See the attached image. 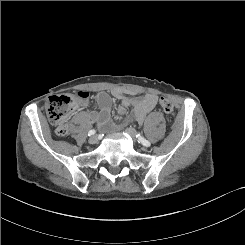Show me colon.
I'll use <instances>...</instances> for the list:
<instances>
[{
  "label": "colon",
  "mask_w": 245,
  "mask_h": 245,
  "mask_svg": "<svg viewBox=\"0 0 245 245\" xmlns=\"http://www.w3.org/2000/svg\"><path fill=\"white\" fill-rule=\"evenodd\" d=\"M88 97L87 92H78L76 94H61L49 98L46 114L49 121L55 125V132L58 136H65L67 133V120L73 110L80 102ZM160 105L163 111L170 117H174V105L167 98L161 97Z\"/></svg>",
  "instance_id": "1"
}]
</instances>
